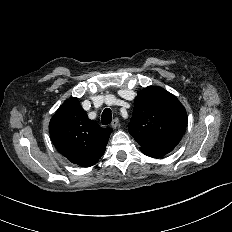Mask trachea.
Listing matches in <instances>:
<instances>
[{
	"label": "trachea",
	"instance_id": "trachea-1",
	"mask_svg": "<svg viewBox=\"0 0 232 232\" xmlns=\"http://www.w3.org/2000/svg\"><path fill=\"white\" fill-rule=\"evenodd\" d=\"M101 121L103 125H108L112 121V113L109 108L104 109L102 116H101Z\"/></svg>",
	"mask_w": 232,
	"mask_h": 232
}]
</instances>
